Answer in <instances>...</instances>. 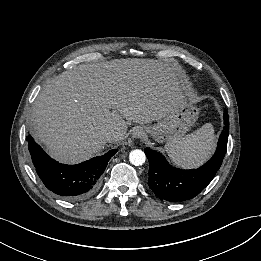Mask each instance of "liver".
I'll return each mask as SVG.
<instances>
[{
  "label": "liver",
  "mask_w": 261,
  "mask_h": 261,
  "mask_svg": "<svg viewBox=\"0 0 261 261\" xmlns=\"http://www.w3.org/2000/svg\"><path fill=\"white\" fill-rule=\"evenodd\" d=\"M188 88L175 64L115 59L82 64L51 79L34 102L31 127L48 153L78 163L106 145L105 130L123 139L124 119L147 124L185 101Z\"/></svg>",
  "instance_id": "liver-1"
}]
</instances>
